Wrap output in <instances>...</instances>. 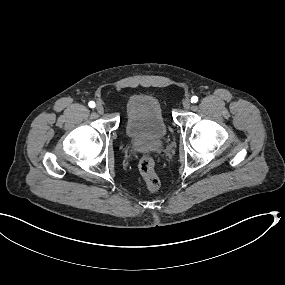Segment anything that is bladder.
Instances as JSON below:
<instances>
[{
    "label": "bladder",
    "mask_w": 285,
    "mask_h": 285,
    "mask_svg": "<svg viewBox=\"0 0 285 285\" xmlns=\"http://www.w3.org/2000/svg\"><path fill=\"white\" fill-rule=\"evenodd\" d=\"M127 126L124 135L138 145H153L162 142L168 132L162 121V106L150 92H135L126 102Z\"/></svg>",
    "instance_id": "bladder-1"
}]
</instances>
